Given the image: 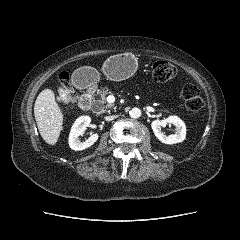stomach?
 <instances>
[{
	"instance_id": "1",
	"label": "stomach",
	"mask_w": 240,
	"mask_h": 240,
	"mask_svg": "<svg viewBox=\"0 0 240 240\" xmlns=\"http://www.w3.org/2000/svg\"><path fill=\"white\" fill-rule=\"evenodd\" d=\"M137 69V59L129 53L114 55L107 59L102 67L104 75L113 81L131 77ZM75 73L83 74L88 81H93L95 71L88 67L78 69Z\"/></svg>"
}]
</instances>
